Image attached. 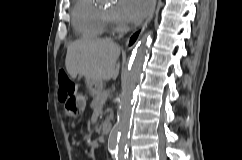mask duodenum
I'll list each match as a JSON object with an SVG mask.
<instances>
[{"label":"duodenum","mask_w":242,"mask_h":160,"mask_svg":"<svg viewBox=\"0 0 242 160\" xmlns=\"http://www.w3.org/2000/svg\"><path fill=\"white\" fill-rule=\"evenodd\" d=\"M111 131V124L110 123H105L103 124L102 128H101V133L103 135H108Z\"/></svg>","instance_id":"duodenum-1"}]
</instances>
